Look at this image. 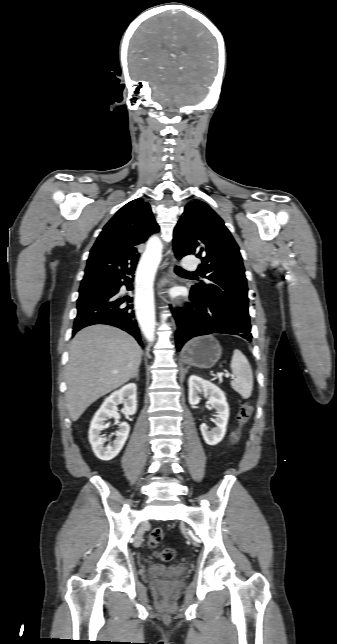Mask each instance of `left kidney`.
<instances>
[{
	"mask_svg": "<svg viewBox=\"0 0 337 644\" xmlns=\"http://www.w3.org/2000/svg\"><path fill=\"white\" fill-rule=\"evenodd\" d=\"M188 386L191 405H197L201 400L199 394H203L208 399L210 406L216 410L217 415L213 420L216 424L215 428L209 431V427L205 423L200 425L204 441L208 445L214 446L224 438L229 419V406L225 394L218 386L195 375L189 377Z\"/></svg>",
	"mask_w": 337,
	"mask_h": 644,
	"instance_id": "5707ae66",
	"label": "left kidney"
}]
</instances>
